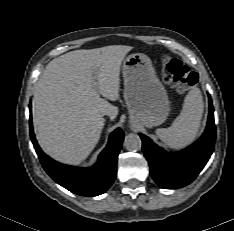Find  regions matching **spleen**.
<instances>
[{
	"mask_svg": "<svg viewBox=\"0 0 234 231\" xmlns=\"http://www.w3.org/2000/svg\"><path fill=\"white\" fill-rule=\"evenodd\" d=\"M203 99L199 89L193 88L186 95L179 116L168 128H159L156 134L163 143L173 149L191 144L199 131L203 115Z\"/></svg>",
	"mask_w": 234,
	"mask_h": 231,
	"instance_id": "obj_1",
	"label": "spleen"
}]
</instances>
